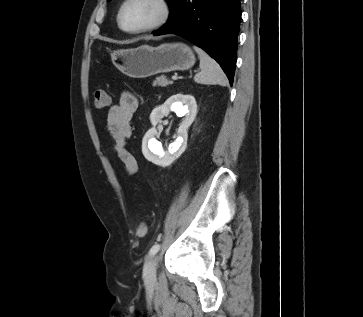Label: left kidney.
<instances>
[{"label":"left kidney","instance_id":"5707ae66","mask_svg":"<svg viewBox=\"0 0 363 317\" xmlns=\"http://www.w3.org/2000/svg\"><path fill=\"white\" fill-rule=\"evenodd\" d=\"M170 111H174L179 117L185 116V118L180 123L176 140L164 152L161 143L155 139V136H158L155 126ZM196 114L197 104L195 98L192 95H184L182 93L171 96L163 105L153 109L150 114V121L153 128L147 131L142 142V153L144 157L156 165L162 167L169 166L185 151L187 147L188 128L193 123Z\"/></svg>","mask_w":363,"mask_h":317}]
</instances>
